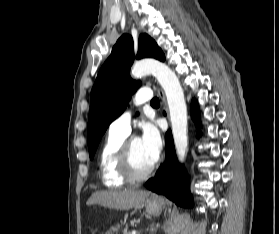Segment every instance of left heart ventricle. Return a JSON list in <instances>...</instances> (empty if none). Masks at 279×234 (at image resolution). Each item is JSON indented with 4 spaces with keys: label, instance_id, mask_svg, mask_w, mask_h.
<instances>
[{
    "label": "left heart ventricle",
    "instance_id": "left-heart-ventricle-1",
    "mask_svg": "<svg viewBox=\"0 0 279 234\" xmlns=\"http://www.w3.org/2000/svg\"><path fill=\"white\" fill-rule=\"evenodd\" d=\"M131 151L134 167L138 171L146 170L155 161V159L143 147L139 138H134L132 140Z\"/></svg>",
    "mask_w": 279,
    "mask_h": 234
}]
</instances>
